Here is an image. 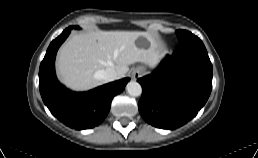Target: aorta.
Returning a JSON list of instances; mask_svg holds the SVG:
<instances>
[{
  "instance_id": "1",
  "label": "aorta",
  "mask_w": 258,
  "mask_h": 158,
  "mask_svg": "<svg viewBox=\"0 0 258 158\" xmlns=\"http://www.w3.org/2000/svg\"><path fill=\"white\" fill-rule=\"evenodd\" d=\"M126 90L129 95L135 96V97L140 96L142 93L141 85L136 81L128 82L126 86Z\"/></svg>"
}]
</instances>
